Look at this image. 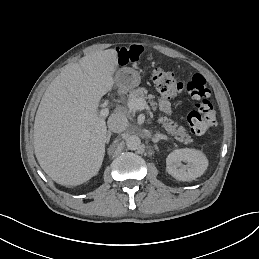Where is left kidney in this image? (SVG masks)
Here are the masks:
<instances>
[{"label":"left kidney","mask_w":259,"mask_h":259,"mask_svg":"<svg viewBox=\"0 0 259 259\" xmlns=\"http://www.w3.org/2000/svg\"><path fill=\"white\" fill-rule=\"evenodd\" d=\"M182 162L187 163V166ZM207 165L202 153L189 149L175 150L166 158V171L179 181H191L200 177Z\"/></svg>","instance_id":"obj_1"}]
</instances>
